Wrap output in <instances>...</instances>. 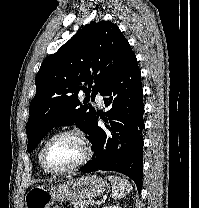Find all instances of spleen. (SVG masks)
<instances>
[{"instance_id": "3e777b00", "label": "spleen", "mask_w": 199, "mask_h": 208, "mask_svg": "<svg viewBox=\"0 0 199 208\" xmlns=\"http://www.w3.org/2000/svg\"><path fill=\"white\" fill-rule=\"evenodd\" d=\"M108 180L112 184V198L115 200L125 197L132 190V185L125 179L109 175Z\"/></svg>"}]
</instances>
